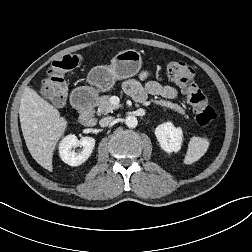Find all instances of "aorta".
<instances>
[{
	"mask_svg": "<svg viewBox=\"0 0 252 252\" xmlns=\"http://www.w3.org/2000/svg\"><path fill=\"white\" fill-rule=\"evenodd\" d=\"M125 124L129 128H135L138 124V120L135 116L130 115L126 117Z\"/></svg>",
	"mask_w": 252,
	"mask_h": 252,
	"instance_id": "obj_1",
	"label": "aorta"
}]
</instances>
